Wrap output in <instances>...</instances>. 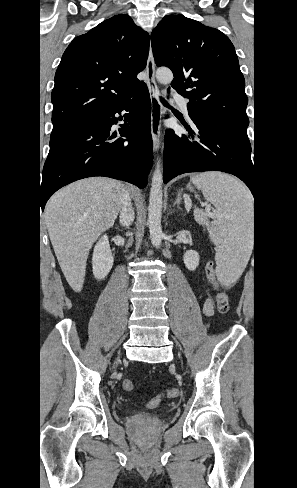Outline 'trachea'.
Returning a JSON list of instances; mask_svg holds the SVG:
<instances>
[{"mask_svg":"<svg viewBox=\"0 0 297 488\" xmlns=\"http://www.w3.org/2000/svg\"><path fill=\"white\" fill-rule=\"evenodd\" d=\"M161 101H162L164 104H166V103H165V100H164L163 98H161Z\"/></svg>","mask_w":297,"mask_h":488,"instance_id":"3493384b","label":"trachea"}]
</instances>
